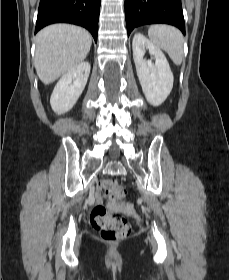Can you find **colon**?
I'll return each mask as SVG.
<instances>
[{
	"instance_id": "obj_1",
	"label": "colon",
	"mask_w": 229,
	"mask_h": 280,
	"mask_svg": "<svg viewBox=\"0 0 229 280\" xmlns=\"http://www.w3.org/2000/svg\"><path fill=\"white\" fill-rule=\"evenodd\" d=\"M101 193L109 199L121 200L126 189L114 180H102L100 182ZM127 210L135 213L131 206ZM92 226L98 230L104 240H116L127 236L130 232V226L127 220L119 214L110 213L103 205L95 206L90 214Z\"/></svg>"
}]
</instances>
